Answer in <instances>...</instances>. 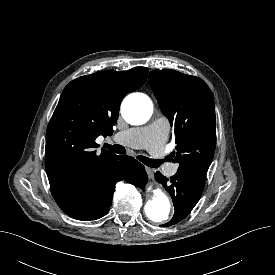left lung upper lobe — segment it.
<instances>
[{"label": "left lung upper lobe", "mask_w": 275, "mask_h": 275, "mask_svg": "<svg viewBox=\"0 0 275 275\" xmlns=\"http://www.w3.org/2000/svg\"><path fill=\"white\" fill-rule=\"evenodd\" d=\"M149 83L159 106L174 127L177 172L205 180L216 145L214 97L200 78L175 70L150 72Z\"/></svg>", "instance_id": "1"}]
</instances>
